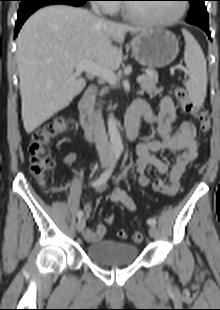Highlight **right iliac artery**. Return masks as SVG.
Instances as JSON below:
<instances>
[{"label": "right iliac artery", "mask_w": 220, "mask_h": 310, "mask_svg": "<svg viewBox=\"0 0 220 310\" xmlns=\"http://www.w3.org/2000/svg\"><path fill=\"white\" fill-rule=\"evenodd\" d=\"M113 154H114V161H113L112 165H111L110 167H108V168L100 175V177H99L98 179L94 180V181L91 183V185H92L93 187H96V186H98V185H100V184H102V183H105V182L109 179L110 175L112 174L113 168H114V166H115V162H116V161L119 159V157H120L121 150H120V149H115L114 152H113ZM82 216H83V212H82L81 210H79L78 213H77V217H78V218H81Z\"/></svg>", "instance_id": "obj_1"}]
</instances>
